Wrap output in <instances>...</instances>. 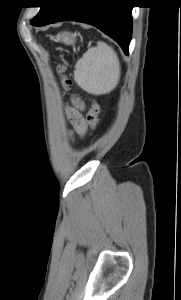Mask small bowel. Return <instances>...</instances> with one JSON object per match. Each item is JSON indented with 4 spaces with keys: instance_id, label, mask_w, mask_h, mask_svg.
<instances>
[{
    "instance_id": "small-bowel-1",
    "label": "small bowel",
    "mask_w": 181,
    "mask_h": 300,
    "mask_svg": "<svg viewBox=\"0 0 181 300\" xmlns=\"http://www.w3.org/2000/svg\"><path fill=\"white\" fill-rule=\"evenodd\" d=\"M75 131L78 135L83 136L86 132V123L80 113L75 110L71 113Z\"/></svg>"
}]
</instances>
